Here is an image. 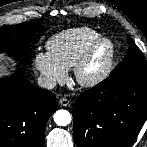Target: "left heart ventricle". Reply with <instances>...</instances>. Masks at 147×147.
<instances>
[{
  "instance_id": "left-heart-ventricle-1",
  "label": "left heart ventricle",
  "mask_w": 147,
  "mask_h": 147,
  "mask_svg": "<svg viewBox=\"0 0 147 147\" xmlns=\"http://www.w3.org/2000/svg\"><path fill=\"white\" fill-rule=\"evenodd\" d=\"M106 53H107L106 44H102L96 49L89 64L85 69L86 75H92L102 67L106 58Z\"/></svg>"
}]
</instances>
